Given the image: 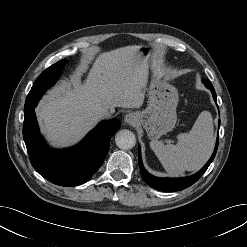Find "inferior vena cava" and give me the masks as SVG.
I'll use <instances>...</instances> for the list:
<instances>
[{
  "label": "inferior vena cava",
  "instance_id": "inferior-vena-cava-1",
  "mask_svg": "<svg viewBox=\"0 0 247 247\" xmlns=\"http://www.w3.org/2000/svg\"><path fill=\"white\" fill-rule=\"evenodd\" d=\"M97 116L100 118V119H107L110 117V111L109 110H106V109H102V110H99L97 112Z\"/></svg>",
  "mask_w": 247,
  "mask_h": 247
}]
</instances>
